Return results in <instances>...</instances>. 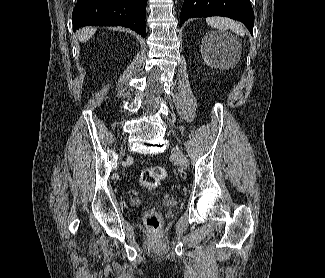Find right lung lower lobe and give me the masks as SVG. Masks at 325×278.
Instances as JSON below:
<instances>
[{
	"label": "right lung lower lobe",
	"instance_id": "98d812e1",
	"mask_svg": "<svg viewBox=\"0 0 325 278\" xmlns=\"http://www.w3.org/2000/svg\"><path fill=\"white\" fill-rule=\"evenodd\" d=\"M147 0H78L73 10V30L88 25L125 26L146 33Z\"/></svg>",
	"mask_w": 325,
	"mask_h": 278
}]
</instances>
